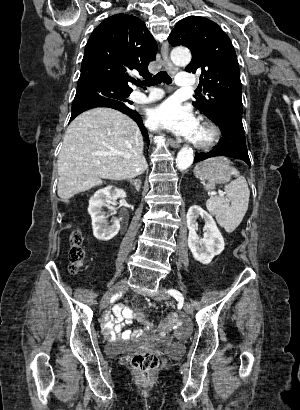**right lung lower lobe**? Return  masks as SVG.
<instances>
[{"label": "right lung lower lobe", "mask_w": 300, "mask_h": 410, "mask_svg": "<svg viewBox=\"0 0 300 410\" xmlns=\"http://www.w3.org/2000/svg\"><path fill=\"white\" fill-rule=\"evenodd\" d=\"M95 107H110L116 110H119L121 112H123L124 114L128 115L129 117H131L139 126L142 134L144 135V137L146 139H148V132L146 130V128L143 125L142 122V118L139 115V113L129 107L126 106H122V105H118V104H113V103H109V102H98V103H93V104H88L82 107H78L72 110V115L70 118V121L73 120L77 115H79L80 113L91 109V108H95Z\"/></svg>", "instance_id": "98d812e1"}]
</instances>
